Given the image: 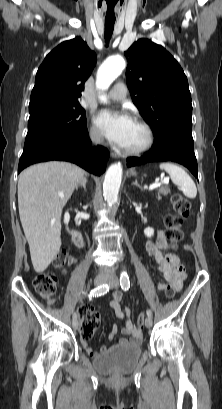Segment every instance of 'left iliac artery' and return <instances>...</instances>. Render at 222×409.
Returning a JSON list of instances; mask_svg holds the SVG:
<instances>
[{"mask_svg": "<svg viewBox=\"0 0 222 409\" xmlns=\"http://www.w3.org/2000/svg\"><path fill=\"white\" fill-rule=\"evenodd\" d=\"M120 285L124 291H127L130 288V281L127 272L123 271L120 276ZM147 316H152V311L150 309L147 310Z\"/></svg>", "mask_w": 222, "mask_h": 409, "instance_id": "obj_1", "label": "left iliac artery"}]
</instances>
